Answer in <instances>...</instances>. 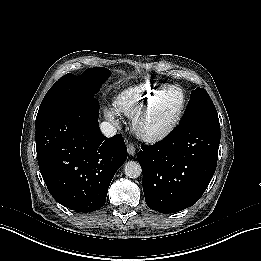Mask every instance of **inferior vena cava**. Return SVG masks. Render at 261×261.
Instances as JSON below:
<instances>
[{"mask_svg":"<svg viewBox=\"0 0 261 261\" xmlns=\"http://www.w3.org/2000/svg\"><path fill=\"white\" fill-rule=\"evenodd\" d=\"M100 131L106 137H112L117 133V129L109 122H102L100 124Z\"/></svg>","mask_w":261,"mask_h":261,"instance_id":"obj_1","label":"inferior vena cava"}]
</instances>
